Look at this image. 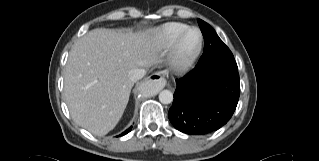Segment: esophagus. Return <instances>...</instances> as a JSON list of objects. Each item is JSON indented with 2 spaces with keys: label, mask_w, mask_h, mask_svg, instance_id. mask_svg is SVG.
<instances>
[{
  "label": "esophagus",
  "mask_w": 319,
  "mask_h": 161,
  "mask_svg": "<svg viewBox=\"0 0 319 161\" xmlns=\"http://www.w3.org/2000/svg\"><path fill=\"white\" fill-rule=\"evenodd\" d=\"M146 81L151 82L157 90L163 89L166 85V79L162 71H155L147 77Z\"/></svg>",
  "instance_id": "obj_1"
}]
</instances>
